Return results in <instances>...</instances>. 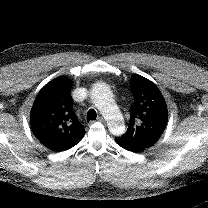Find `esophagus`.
<instances>
[{
    "mask_svg": "<svg viewBox=\"0 0 208 208\" xmlns=\"http://www.w3.org/2000/svg\"><path fill=\"white\" fill-rule=\"evenodd\" d=\"M97 121H99V122H104L105 120H104L103 117L100 116V117L97 118Z\"/></svg>",
    "mask_w": 208,
    "mask_h": 208,
    "instance_id": "obj_1",
    "label": "esophagus"
}]
</instances>
